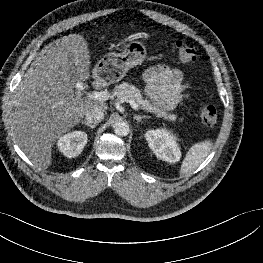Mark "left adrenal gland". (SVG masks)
Wrapping results in <instances>:
<instances>
[{"mask_svg":"<svg viewBox=\"0 0 263 263\" xmlns=\"http://www.w3.org/2000/svg\"><path fill=\"white\" fill-rule=\"evenodd\" d=\"M134 120H136L137 121V123H139V122H141L142 121V119H149L150 118V116L149 115H134Z\"/></svg>","mask_w":263,"mask_h":263,"instance_id":"obj_1","label":"left adrenal gland"}]
</instances>
